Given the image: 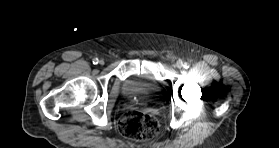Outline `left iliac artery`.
<instances>
[{
  "mask_svg": "<svg viewBox=\"0 0 279 148\" xmlns=\"http://www.w3.org/2000/svg\"><path fill=\"white\" fill-rule=\"evenodd\" d=\"M183 67H184L185 69H188V68L190 67V63L185 62V63L183 64Z\"/></svg>",
  "mask_w": 279,
  "mask_h": 148,
  "instance_id": "1",
  "label": "left iliac artery"
}]
</instances>
